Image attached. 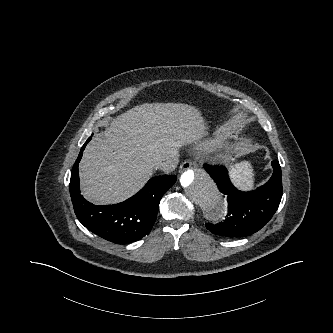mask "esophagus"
I'll use <instances>...</instances> for the list:
<instances>
[{
  "label": "esophagus",
  "mask_w": 333,
  "mask_h": 333,
  "mask_svg": "<svg viewBox=\"0 0 333 333\" xmlns=\"http://www.w3.org/2000/svg\"><path fill=\"white\" fill-rule=\"evenodd\" d=\"M193 165H195V162L187 160L185 161L181 166H180V172H183L187 169H190L193 167Z\"/></svg>",
  "instance_id": "34e87169"
}]
</instances>
